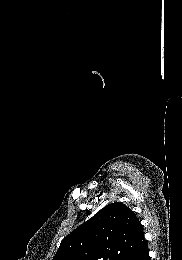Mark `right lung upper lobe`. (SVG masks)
Returning <instances> with one entry per match:
<instances>
[{
	"instance_id": "obj_1",
	"label": "right lung upper lobe",
	"mask_w": 182,
	"mask_h": 260,
	"mask_svg": "<svg viewBox=\"0 0 182 260\" xmlns=\"http://www.w3.org/2000/svg\"><path fill=\"white\" fill-rule=\"evenodd\" d=\"M145 242L135 213L115 202L68 234L53 260H125Z\"/></svg>"
}]
</instances>
